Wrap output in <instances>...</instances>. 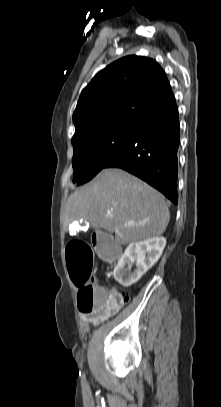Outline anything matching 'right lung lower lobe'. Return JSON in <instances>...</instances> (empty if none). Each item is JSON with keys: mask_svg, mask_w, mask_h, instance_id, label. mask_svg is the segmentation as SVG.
<instances>
[{"mask_svg": "<svg viewBox=\"0 0 221 407\" xmlns=\"http://www.w3.org/2000/svg\"><path fill=\"white\" fill-rule=\"evenodd\" d=\"M178 108L173 96L139 121L122 148L103 168H122L162 192L177 204Z\"/></svg>", "mask_w": 221, "mask_h": 407, "instance_id": "98d812e1", "label": "right lung lower lobe"}]
</instances>
